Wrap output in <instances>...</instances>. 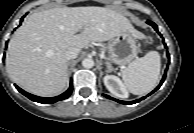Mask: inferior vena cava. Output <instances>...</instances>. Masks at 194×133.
Segmentation results:
<instances>
[{
    "label": "inferior vena cava",
    "mask_w": 194,
    "mask_h": 133,
    "mask_svg": "<svg viewBox=\"0 0 194 133\" xmlns=\"http://www.w3.org/2000/svg\"><path fill=\"white\" fill-rule=\"evenodd\" d=\"M79 52H80L79 48H77V47H70L65 52V59L66 60L75 59L78 56Z\"/></svg>",
    "instance_id": "602c4592"
}]
</instances>
